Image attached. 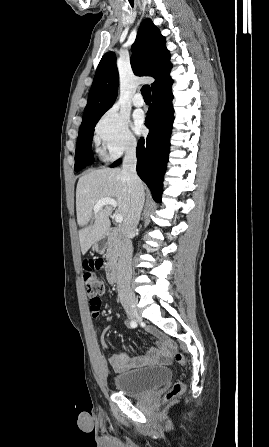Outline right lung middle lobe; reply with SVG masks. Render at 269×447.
<instances>
[{
    "instance_id": "obj_1",
    "label": "right lung middle lobe",
    "mask_w": 269,
    "mask_h": 447,
    "mask_svg": "<svg viewBox=\"0 0 269 447\" xmlns=\"http://www.w3.org/2000/svg\"><path fill=\"white\" fill-rule=\"evenodd\" d=\"M98 120L85 125L79 129L76 153H75V171H80L89 164H92L94 159L90 151L94 127Z\"/></svg>"
}]
</instances>
